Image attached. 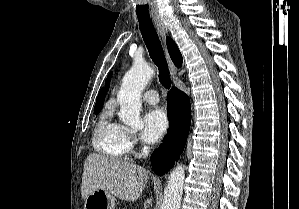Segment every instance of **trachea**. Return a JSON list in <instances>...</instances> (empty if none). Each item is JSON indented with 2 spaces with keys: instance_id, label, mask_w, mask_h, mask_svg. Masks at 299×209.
<instances>
[{
  "instance_id": "obj_1",
  "label": "trachea",
  "mask_w": 299,
  "mask_h": 209,
  "mask_svg": "<svg viewBox=\"0 0 299 209\" xmlns=\"http://www.w3.org/2000/svg\"><path fill=\"white\" fill-rule=\"evenodd\" d=\"M138 21L140 31L149 51L150 57L158 67L159 81L166 89H169L171 87V79L169 75L168 64L152 20L150 17L138 16Z\"/></svg>"
}]
</instances>
